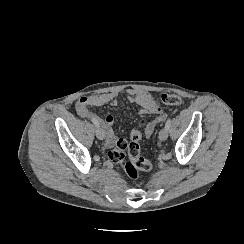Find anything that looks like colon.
Wrapping results in <instances>:
<instances>
[{
  "instance_id": "colon-1",
  "label": "colon",
  "mask_w": 244,
  "mask_h": 244,
  "mask_svg": "<svg viewBox=\"0 0 244 244\" xmlns=\"http://www.w3.org/2000/svg\"><path fill=\"white\" fill-rule=\"evenodd\" d=\"M159 101L168 106H182L185 102L180 95L163 92L159 95ZM147 125L146 119H141L138 125L130 133V141L119 138L115 141L113 148L108 153V160L113 164H121L127 177L137 180L140 171L151 169L152 163L141 154L142 128ZM128 161L124 163L125 152Z\"/></svg>"
}]
</instances>
